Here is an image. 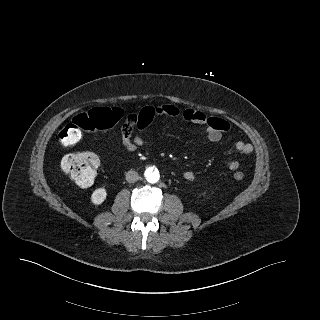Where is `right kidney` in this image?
Instances as JSON below:
<instances>
[{
	"label": "right kidney",
	"mask_w": 320,
	"mask_h": 320,
	"mask_svg": "<svg viewBox=\"0 0 320 320\" xmlns=\"http://www.w3.org/2000/svg\"><path fill=\"white\" fill-rule=\"evenodd\" d=\"M107 197V191L105 188H97L96 190L93 191L92 195H91V202L95 205H99L102 202H104V200Z\"/></svg>",
	"instance_id": "obj_1"
}]
</instances>
